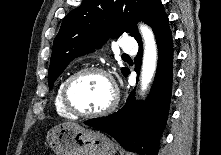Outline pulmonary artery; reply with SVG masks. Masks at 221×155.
I'll list each match as a JSON object with an SVG mask.
<instances>
[{"instance_id": "1", "label": "pulmonary artery", "mask_w": 221, "mask_h": 155, "mask_svg": "<svg viewBox=\"0 0 221 155\" xmlns=\"http://www.w3.org/2000/svg\"><path fill=\"white\" fill-rule=\"evenodd\" d=\"M121 48L125 53L134 54L137 51V44L132 38L126 37L122 40Z\"/></svg>"}]
</instances>
